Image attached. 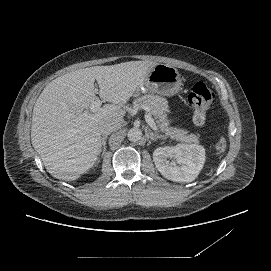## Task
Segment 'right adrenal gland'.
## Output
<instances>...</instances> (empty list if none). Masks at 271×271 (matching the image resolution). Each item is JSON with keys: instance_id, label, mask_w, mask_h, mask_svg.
I'll return each mask as SVG.
<instances>
[{"instance_id": "right-adrenal-gland-1", "label": "right adrenal gland", "mask_w": 271, "mask_h": 271, "mask_svg": "<svg viewBox=\"0 0 271 271\" xmlns=\"http://www.w3.org/2000/svg\"><path fill=\"white\" fill-rule=\"evenodd\" d=\"M106 140H107V135H104L101 139V151H100V155H99V157L101 156V158H103V156L105 155V152H106Z\"/></svg>"}]
</instances>
